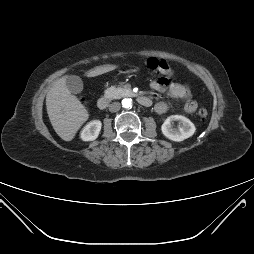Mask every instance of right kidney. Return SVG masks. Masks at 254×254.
<instances>
[{
	"label": "right kidney",
	"mask_w": 254,
	"mask_h": 254,
	"mask_svg": "<svg viewBox=\"0 0 254 254\" xmlns=\"http://www.w3.org/2000/svg\"><path fill=\"white\" fill-rule=\"evenodd\" d=\"M102 123L100 120H93L89 122L81 131V139L83 141H93L95 140L101 130Z\"/></svg>",
	"instance_id": "ca27d5eb"
}]
</instances>
